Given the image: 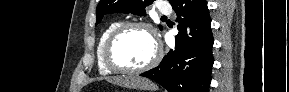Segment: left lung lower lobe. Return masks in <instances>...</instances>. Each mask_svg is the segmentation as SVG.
<instances>
[{"label":"left lung lower lobe","mask_w":289,"mask_h":92,"mask_svg":"<svg viewBox=\"0 0 289 92\" xmlns=\"http://www.w3.org/2000/svg\"><path fill=\"white\" fill-rule=\"evenodd\" d=\"M179 33L175 48L160 65L140 76L162 85L169 92H209L213 66V36L206 0H174Z\"/></svg>","instance_id":"0a47b994"}]
</instances>
